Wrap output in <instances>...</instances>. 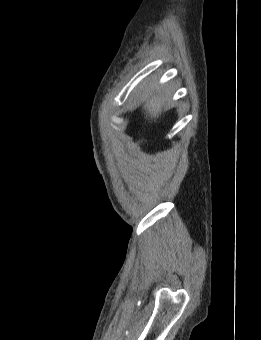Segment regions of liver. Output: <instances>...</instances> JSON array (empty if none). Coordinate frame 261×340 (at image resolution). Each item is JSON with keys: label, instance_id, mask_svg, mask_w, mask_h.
<instances>
[{"label": "liver", "instance_id": "6515ba94", "mask_svg": "<svg viewBox=\"0 0 261 340\" xmlns=\"http://www.w3.org/2000/svg\"><path fill=\"white\" fill-rule=\"evenodd\" d=\"M145 104L143 109L146 111L147 117L156 119L159 117L162 111V107L165 105V98L162 96H155L147 93L143 99Z\"/></svg>", "mask_w": 261, "mask_h": 340}]
</instances>
